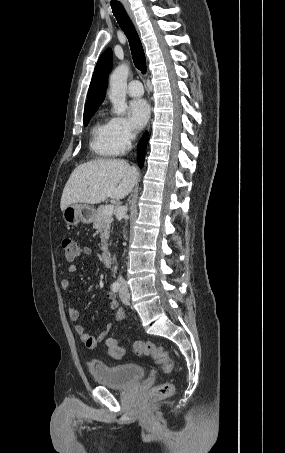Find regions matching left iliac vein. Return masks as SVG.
I'll return each instance as SVG.
<instances>
[{"label":"left iliac vein","instance_id":"1","mask_svg":"<svg viewBox=\"0 0 285 453\" xmlns=\"http://www.w3.org/2000/svg\"><path fill=\"white\" fill-rule=\"evenodd\" d=\"M119 296H120L121 301L124 304H129L130 294H129L128 286L125 283H122L120 286Z\"/></svg>","mask_w":285,"mask_h":453}]
</instances>
